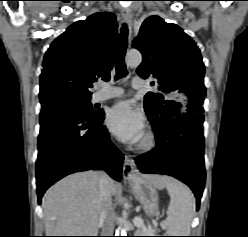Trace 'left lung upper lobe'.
I'll list each match as a JSON object with an SVG mask.
<instances>
[{
    "label": "left lung upper lobe",
    "mask_w": 248,
    "mask_h": 237,
    "mask_svg": "<svg viewBox=\"0 0 248 237\" xmlns=\"http://www.w3.org/2000/svg\"><path fill=\"white\" fill-rule=\"evenodd\" d=\"M133 47L143 55L137 73L152 75L160 93L148 92L144 108L155 132L183 113H202L205 66L196 43L177 25L159 16L142 23ZM154 84V82H152Z\"/></svg>",
    "instance_id": "left-lung-upper-lobe-1"
}]
</instances>
